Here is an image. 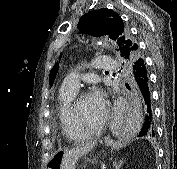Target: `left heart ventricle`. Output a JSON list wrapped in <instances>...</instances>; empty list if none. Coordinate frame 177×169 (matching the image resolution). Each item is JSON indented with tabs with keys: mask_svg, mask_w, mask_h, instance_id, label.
<instances>
[{
	"mask_svg": "<svg viewBox=\"0 0 177 169\" xmlns=\"http://www.w3.org/2000/svg\"><path fill=\"white\" fill-rule=\"evenodd\" d=\"M78 111L82 120L88 126L99 125L105 113V109L97 106L90 95H86L80 100Z\"/></svg>",
	"mask_w": 177,
	"mask_h": 169,
	"instance_id": "1",
	"label": "left heart ventricle"
}]
</instances>
